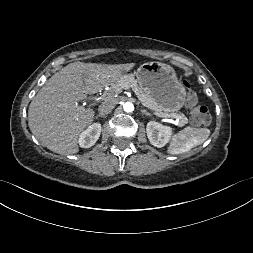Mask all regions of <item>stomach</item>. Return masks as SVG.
<instances>
[{"instance_id":"1","label":"stomach","mask_w":253,"mask_h":253,"mask_svg":"<svg viewBox=\"0 0 253 253\" xmlns=\"http://www.w3.org/2000/svg\"><path fill=\"white\" fill-rule=\"evenodd\" d=\"M140 88L166 113L178 112L185 104L186 89L173 67L161 62H147L135 72Z\"/></svg>"}]
</instances>
